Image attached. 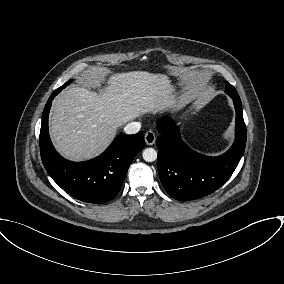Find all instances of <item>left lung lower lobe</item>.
Wrapping results in <instances>:
<instances>
[{
	"label": "left lung lower lobe",
	"mask_w": 284,
	"mask_h": 284,
	"mask_svg": "<svg viewBox=\"0 0 284 284\" xmlns=\"http://www.w3.org/2000/svg\"><path fill=\"white\" fill-rule=\"evenodd\" d=\"M236 110V136L232 147L217 157L192 151L182 141L170 118L160 119L157 129V167L167 193L180 201L207 196L221 187L236 169L246 146V126L240 99L232 98Z\"/></svg>",
	"instance_id": "1"
}]
</instances>
